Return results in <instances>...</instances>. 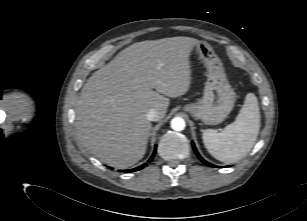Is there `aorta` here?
I'll return each mask as SVG.
<instances>
[{
	"label": "aorta",
	"instance_id": "obj_1",
	"mask_svg": "<svg viewBox=\"0 0 307 221\" xmlns=\"http://www.w3.org/2000/svg\"><path fill=\"white\" fill-rule=\"evenodd\" d=\"M185 126V120L181 117H175L171 120V128L175 131H182Z\"/></svg>",
	"mask_w": 307,
	"mask_h": 221
}]
</instances>
